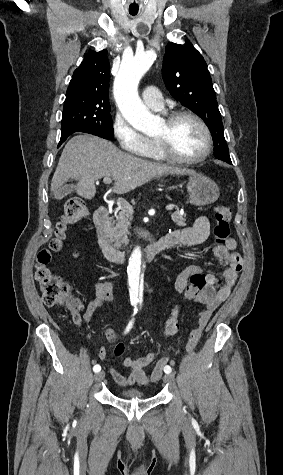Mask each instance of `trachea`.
<instances>
[{
    "label": "trachea",
    "instance_id": "obj_1",
    "mask_svg": "<svg viewBox=\"0 0 283 475\" xmlns=\"http://www.w3.org/2000/svg\"><path fill=\"white\" fill-rule=\"evenodd\" d=\"M130 15H137V13H130Z\"/></svg>",
    "mask_w": 283,
    "mask_h": 475
}]
</instances>
